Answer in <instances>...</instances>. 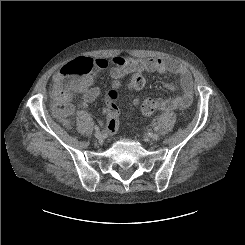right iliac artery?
I'll list each match as a JSON object with an SVG mask.
<instances>
[{"instance_id":"obj_1","label":"right iliac artery","mask_w":245,"mask_h":245,"mask_svg":"<svg viewBox=\"0 0 245 245\" xmlns=\"http://www.w3.org/2000/svg\"><path fill=\"white\" fill-rule=\"evenodd\" d=\"M94 129H95L96 131H98V130H99V127H98V126H95Z\"/></svg>"}]
</instances>
